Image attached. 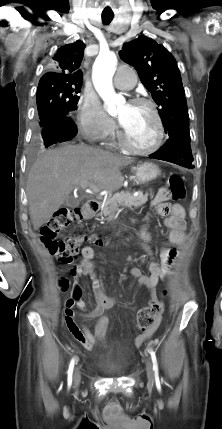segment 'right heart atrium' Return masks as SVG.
<instances>
[{"instance_id":"obj_1","label":"right heart atrium","mask_w":222,"mask_h":429,"mask_svg":"<svg viewBox=\"0 0 222 429\" xmlns=\"http://www.w3.org/2000/svg\"><path fill=\"white\" fill-rule=\"evenodd\" d=\"M77 121L80 132L93 141L108 138L115 128L98 97L86 91L81 94L77 103Z\"/></svg>"}]
</instances>
